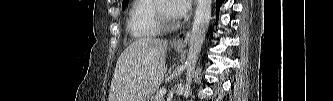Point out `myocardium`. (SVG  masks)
Returning <instances> with one entry per match:
<instances>
[{
  "instance_id": "f54148a6",
  "label": "myocardium",
  "mask_w": 333,
  "mask_h": 101,
  "mask_svg": "<svg viewBox=\"0 0 333 101\" xmlns=\"http://www.w3.org/2000/svg\"><path fill=\"white\" fill-rule=\"evenodd\" d=\"M165 1H157L155 15L157 23L161 30L168 31L176 29L179 26V21L175 17H170L164 10Z\"/></svg>"
}]
</instances>
